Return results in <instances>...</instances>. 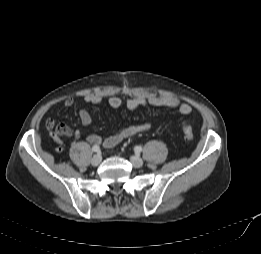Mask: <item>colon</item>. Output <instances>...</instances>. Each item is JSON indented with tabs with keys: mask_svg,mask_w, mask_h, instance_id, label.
I'll list each match as a JSON object with an SVG mask.
<instances>
[{
	"mask_svg": "<svg viewBox=\"0 0 261 254\" xmlns=\"http://www.w3.org/2000/svg\"><path fill=\"white\" fill-rule=\"evenodd\" d=\"M181 133L186 141H191L193 139L194 134H193L192 127L187 122L182 123Z\"/></svg>",
	"mask_w": 261,
	"mask_h": 254,
	"instance_id": "5ec220e1",
	"label": "colon"
}]
</instances>
